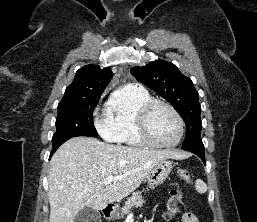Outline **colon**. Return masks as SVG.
<instances>
[{
    "label": "colon",
    "instance_id": "obj_1",
    "mask_svg": "<svg viewBox=\"0 0 257 222\" xmlns=\"http://www.w3.org/2000/svg\"><path fill=\"white\" fill-rule=\"evenodd\" d=\"M177 176L184 183L190 181L189 172L186 169H179ZM183 194L178 186H173L170 190V196L166 204V218L171 219L183 209Z\"/></svg>",
    "mask_w": 257,
    "mask_h": 222
}]
</instances>
